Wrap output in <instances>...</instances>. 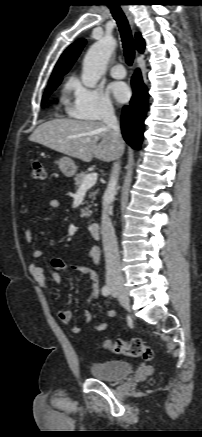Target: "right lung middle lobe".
<instances>
[{"label": "right lung middle lobe", "mask_w": 202, "mask_h": 437, "mask_svg": "<svg viewBox=\"0 0 202 437\" xmlns=\"http://www.w3.org/2000/svg\"><path fill=\"white\" fill-rule=\"evenodd\" d=\"M61 80L54 81L48 85V87L43 95L42 105H44L48 96L57 88V86L60 84Z\"/></svg>", "instance_id": "dd1d6c3e"}]
</instances>
